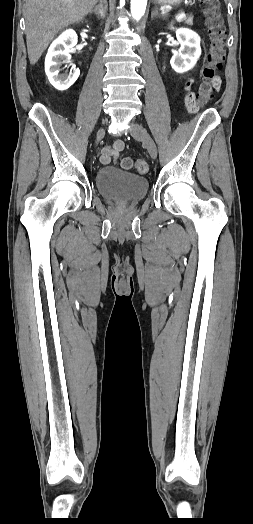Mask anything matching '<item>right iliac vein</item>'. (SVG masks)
<instances>
[{
  "mask_svg": "<svg viewBox=\"0 0 253 524\" xmlns=\"http://www.w3.org/2000/svg\"><path fill=\"white\" fill-rule=\"evenodd\" d=\"M105 135V129L104 128H100L98 131H97V136H96V142H99Z\"/></svg>",
  "mask_w": 253,
  "mask_h": 524,
  "instance_id": "63e3f726",
  "label": "right iliac vein"
}]
</instances>
